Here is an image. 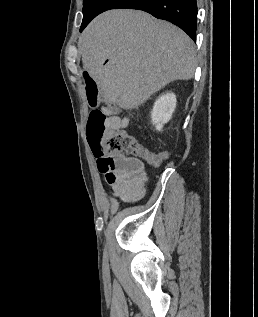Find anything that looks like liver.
<instances>
[{
    "label": "liver",
    "instance_id": "obj_1",
    "mask_svg": "<svg viewBox=\"0 0 258 317\" xmlns=\"http://www.w3.org/2000/svg\"><path fill=\"white\" fill-rule=\"evenodd\" d=\"M85 70L105 102L137 108L171 80L193 78L196 52L190 36L143 10H107L79 38Z\"/></svg>",
    "mask_w": 258,
    "mask_h": 317
}]
</instances>
